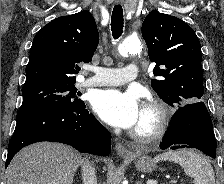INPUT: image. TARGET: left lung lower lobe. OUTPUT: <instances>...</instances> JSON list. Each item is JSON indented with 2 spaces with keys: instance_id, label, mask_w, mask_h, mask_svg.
<instances>
[{
  "instance_id": "left-lung-lower-lobe-1",
  "label": "left lung lower lobe",
  "mask_w": 224,
  "mask_h": 184,
  "mask_svg": "<svg viewBox=\"0 0 224 184\" xmlns=\"http://www.w3.org/2000/svg\"><path fill=\"white\" fill-rule=\"evenodd\" d=\"M216 147L210 114L202 101L180 106L160 143L163 150L196 148L212 158Z\"/></svg>"
}]
</instances>
